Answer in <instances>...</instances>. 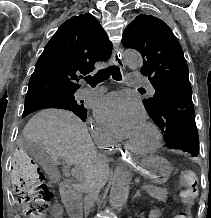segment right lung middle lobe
Returning <instances> with one entry per match:
<instances>
[{
    "label": "right lung middle lobe",
    "instance_id": "obj_1",
    "mask_svg": "<svg viewBox=\"0 0 211 218\" xmlns=\"http://www.w3.org/2000/svg\"><path fill=\"white\" fill-rule=\"evenodd\" d=\"M74 91L57 93L45 97H41L29 102H25L22 117H26L30 113L48 108H60L73 111L83 121L86 120L87 109L81 104L83 101H77L74 97Z\"/></svg>",
    "mask_w": 211,
    "mask_h": 218
}]
</instances>
